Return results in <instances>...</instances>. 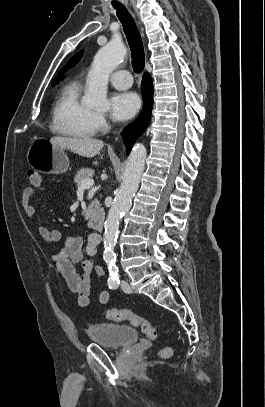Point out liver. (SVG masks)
Returning <instances> with one entry per match:
<instances>
[{"instance_id": "1", "label": "liver", "mask_w": 265, "mask_h": 407, "mask_svg": "<svg viewBox=\"0 0 265 407\" xmlns=\"http://www.w3.org/2000/svg\"><path fill=\"white\" fill-rule=\"evenodd\" d=\"M50 142L53 145L59 146L63 149H69L73 153L83 157L92 158L100 153L104 146L101 140L89 137L84 138H70V137H52ZM97 165V162H94Z\"/></svg>"}]
</instances>
